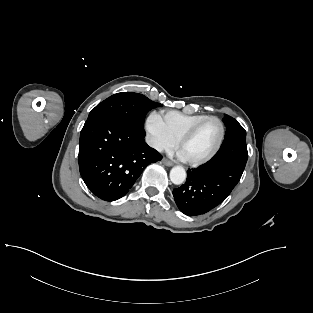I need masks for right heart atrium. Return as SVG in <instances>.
I'll return each instance as SVG.
<instances>
[{"label":"right heart atrium","instance_id":"1","mask_svg":"<svg viewBox=\"0 0 313 313\" xmlns=\"http://www.w3.org/2000/svg\"><path fill=\"white\" fill-rule=\"evenodd\" d=\"M146 131L150 146L159 152L170 150L176 144V141H174L164 129L159 115L156 113H152L148 117Z\"/></svg>","mask_w":313,"mask_h":313}]
</instances>
